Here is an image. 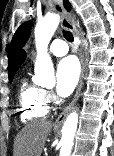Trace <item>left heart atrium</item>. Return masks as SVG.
Listing matches in <instances>:
<instances>
[{
	"mask_svg": "<svg viewBox=\"0 0 114 156\" xmlns=\"http://www.w3.org/2000/svg\"><path fill=\"white\" fill-rule=\"evenodd\" d=\"M80 76V66L74 56L63 58L57 66L56 91L62 96H69L75 89Z\"/></svg>",
	"mask_w": 114,
	"mask_h": 156,
	"instance_id": "left-heart-atrium-1",
	"label": "left heart atrium"
}]
</instances>
